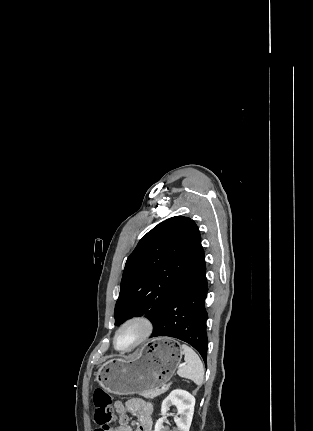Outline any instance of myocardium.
Here are the masks:
<instances>
[{
	"label": "myocardium",
	"mask_w": 313,
	"mask_h": 431,
	"mask_svg": "<svg viewBox=\"0 0 313 431\" xmlns=\"http://www.w3.org/2000/svg\"><path fill=\"white\" fill-rule=\"evenodd\" d=\"M135 323L141 324L143 326V333H142L141 337L132 346H130L128 348H119L117 346V337H118L119 333L126 326H128L130 324H135ZM154 330H155V324L149 315L144 314V313L133 315V316L129 317L128 319H126L116 330L114 337H113L114 348L120 352L132 351V350L140 347L141 345H143L146 341H148V339L153 335Z\"/></svg>",
	"instance_id": "myocardium-1"
}]
</instances>
